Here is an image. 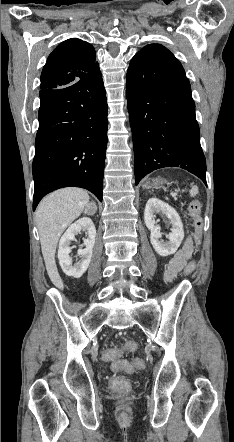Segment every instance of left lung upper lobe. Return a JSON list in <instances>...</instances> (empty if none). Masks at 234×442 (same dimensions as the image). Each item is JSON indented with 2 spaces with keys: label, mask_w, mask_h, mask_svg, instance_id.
Returning a JSON list of instances; mask_svg holds the SVG:
<instances>
[{
  "label": "left lung upper lobe",
  "mask_w": 234,
  "mask_h": 442,
  "mask_svg": "<svg viewBox=\"0 0 234 442\" xmlns=\"http://www.w3.org/2000/svg\"><path fill=\"white\" fill-rule=\"evenodd\" d=\"M137 54L147 55V56H163L167 58L176 59L174 55L167 48H165L160 44L147 45Z\"/></svg>",
  "instance_id": "left-lung-upper-lobe-1"
}]
</instances>
